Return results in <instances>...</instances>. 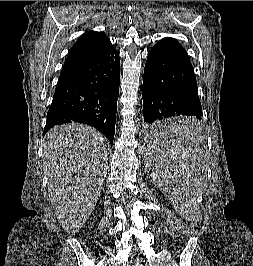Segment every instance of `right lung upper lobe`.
Here are the masks:
<instances>
[{
  "label": "right lung upper lobe",
  "instance_id": "right-lung-upper-lobe-1",
  "mask_svg": "<svg viewBox=\"0 0 253 266\" xmlns=\"http://www.w3.org/2000/svg\"><path fill=\"white\" fill-rule=\"evenodd\" d=\"M113 49L114 46L105 34L96 31L85 32L71 48L61 74L96 60Z\"/></svg>",
  "mask_w": 253,
  "mask_h": 266
}]
</instances>
